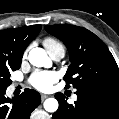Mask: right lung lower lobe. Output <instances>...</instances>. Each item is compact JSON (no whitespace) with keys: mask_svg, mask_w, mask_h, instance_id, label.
<instances>
[{"mask_svg":"<svg viewBox=\"0 0 119 119\" xmlns=\"http://www.w3.org/2000/svg\"><path fill=\"white\" fill-rule=\"evenodd\" d=\"M5 90H0V119H29L31 112L40 104V94L32 89L13 99L5 97Z\"/></svg>","mask_w":119,"mask_h":119,"instance_id":"obj_1","label":"right lung lower lobe"}]
</instances>
